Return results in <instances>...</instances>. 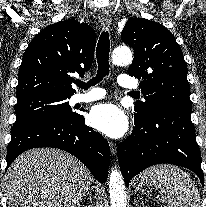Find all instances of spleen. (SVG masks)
<instances>
[{
  "instance_id": "3e777b00",
  "label": "spleen",
  "mask_w": 206,
  "mask_h": 207,
  "mask_svg": "<svg viewBox=\"0 0 206 207\" xmlns=\"http://www.w3.org/2000/svg\"><path fill=\"white\" fill-rule=\"evenodd\" d=\"M154 186L170 207H200L199 192L189 175L177 166L157 165L139 176Z\"/></svg>"
}]
</instances>
